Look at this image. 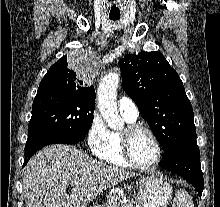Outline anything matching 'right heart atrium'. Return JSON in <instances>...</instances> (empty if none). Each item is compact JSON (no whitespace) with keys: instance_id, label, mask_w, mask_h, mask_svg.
Returning <instances> with one entry per match:
<instances>
[{"instance_id":"obj_1","label":"right heart atrium","mask_w":220,"mask_h":207,"mask_svg":"<svg viewBox=\"0 0 220 207\" xmlns=\"http://www.w3.org/2000/svg\"><path fill=\"white\" fill-rule=\"evenodd\" d=\"M109 132L101 115L95 111L91 116L86 136L88 147L93 153L104 146Z\"/></svg>"}]
</instances>
